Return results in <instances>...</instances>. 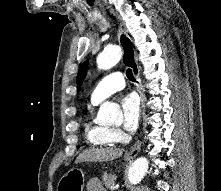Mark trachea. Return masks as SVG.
Instances as JSON below:
<instances>
[{"mask_svg":"<svg viewBox=\"0 0 221 191\" xmlns=\"http://www.w3.org/2000/svg\"><path fill=\"white\" fill-rule=\"evenodd\" d=\"M126 76H127V78H128L130 81H135V78H134V76H133V73H132V71H131L130 69H128V70L126 71Z\"/></svg>","mask_w":221,"mask_h":191,"instance_id":"1","label":"trachea"}]
</instances>
